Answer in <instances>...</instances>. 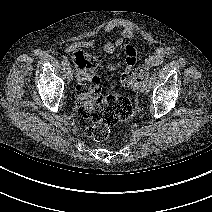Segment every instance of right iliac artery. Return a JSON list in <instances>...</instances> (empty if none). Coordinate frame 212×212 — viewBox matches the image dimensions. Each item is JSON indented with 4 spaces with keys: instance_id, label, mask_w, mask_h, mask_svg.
Masks as SVG:
<instances>
[{
    "instance_id": "obj_1",
    "label": "right iliac artery",
    "mask_w": 212,
    "mask_h": 212,
    "mask_svg": "<svg viewBox=\"0 0 212 212\" xmlns=\"http://www.w3.org/2000/svg\"><path fill=\"white\" fill-rule=\"evenodd\" d=\"M62 65H63L64 67H69V63H68L67 60H62Z\"/></svg>"
}]
</instances>
